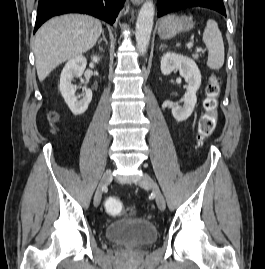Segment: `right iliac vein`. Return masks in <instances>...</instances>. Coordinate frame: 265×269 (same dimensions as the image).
<instances>
[{
	"label": "right iliac vein",
	"instance_id": "63e3f726",
	"mask_svg": "<svg viewBox=\"0 0 265 269\" xmlns=\"http://www.w3.org/2000/svg\"><path fill=\"white\" fill-rule=\"evenodd\" d=\"M112 181V171L111 170H107L99 183V186L95 192L94 195V205L97 207L101 201L102 198V194H103V188H105L110 182Z\"/></svg>",
	"mask_w": 265,
	"mask_h": 269
}]
</instances>
